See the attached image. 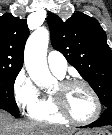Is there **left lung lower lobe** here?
I'll return each instance as SVG.
<instances>
[{"instance_id": "left-lung-lower-lobe-1", "label": "left lung lower lobe", "mask_w": 112, "mask_h": 135, "mask_svg": "<svg viewBox=\"0 0 112 135\" xmlns=\"http://www.w3.org/2000/svg\"><path fill=\"white\" fill-rule=\"evenodd\" d=\"M105 125H112V107L106 108V110L103 112V114L97 121L91 123L90 125L84 126V128L100 127Z\"/></svg>"}]
</instances>
